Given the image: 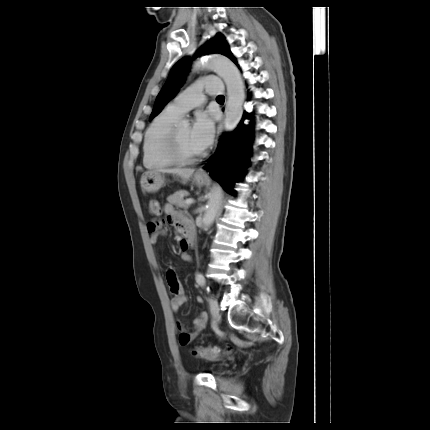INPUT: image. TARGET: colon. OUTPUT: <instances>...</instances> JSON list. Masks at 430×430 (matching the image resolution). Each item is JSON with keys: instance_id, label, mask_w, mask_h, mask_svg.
<instances>
[{"instance_id": "1", "label": "colon", "mask_w": 430, "mask_h": 430, "mask_svg": "<svg viewBox=\"0 0 430 430\" xmlns=\"http://www.w3.org/2000/svg\"><path fill=\"white\" fill-rule=\"evenodd\" d=\"M149 211L154 216H159L161 213L160 205L156 200H150ZM233 351L231 346H227L225 349L218 347H203L197 346L193 349L192 354L195 357L206 359V360H218L224 355H229Z\"/></svg>"}]
</instances>
